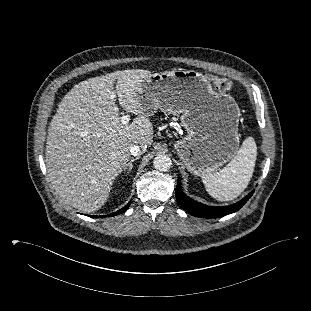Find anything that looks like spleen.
Here are the masks:
<instances>
[{"label":"spleen","mask_w":311,"mask_h":311,"mask_svg":"<svg viewBox=\"0 0 311 311\" xmlns=\"http://www.w3.org/2000/svg\"><path fill=\"white\" fill-rule=\"evenodd\" d=\"M256 157V143L252 137H247L237 154L223 169L202 175L206 191L219 201L238 197L252 178Z\"/></svg>","instance_id":"3e777b00"}]
</instances>
